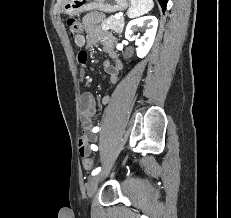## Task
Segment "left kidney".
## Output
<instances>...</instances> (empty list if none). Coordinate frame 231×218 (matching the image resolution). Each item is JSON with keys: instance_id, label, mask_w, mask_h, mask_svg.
I'll use <instances>...</instances> for the list:
<instances>
[{"instance_id": "left-kidney-1", "label": "left kidney", "mask_w": 231, "mask_h": 218, "mask_svg": "<svg viewBox=\"0 0 231 218\" xmlns=\"http://www.w3.org/2000/svg\"><path fill=\"white\" fill-rule=\"evenodd\" d=\"M158 27V20L155 16L148 15L134 20H131L125 31V38L130 41H135L137 48V56L139 58L145 57L151 49L156 31ZM138 28L144 29V34L141 37L136 36L134 33Z\"/></svg>"}]
</instances>
